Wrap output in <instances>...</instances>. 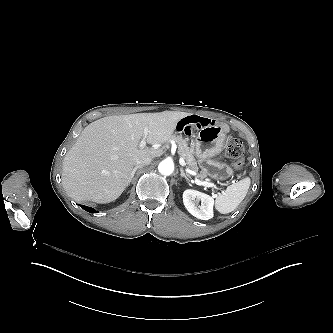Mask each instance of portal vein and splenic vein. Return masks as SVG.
<instances>
[{"label": "portal vein and splenic vein", "instance_id": "obj_1", "mask_svg": "<svg viewBox=\"0 0 333 333\" xmlns=\"http://www.w3.org/2000/svg\"><path fill=\"white\" fill-rule=\"evenodd\" d=\"M148 134H149L148 129H144V133H143V136H142V138H141V146H142V147H145V146H146V139H147V137H148ZM180 163H184V161H183V160H180ZM196 184L199 185V186H205V187H210V186H212L211 183H209V182H205V181H200V180H197V181H196Z\"/></svg>", "mask_w": 333, "mask_h": 333}]
</instances>
